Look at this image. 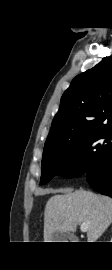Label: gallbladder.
I'll use <instances>...</instances> for the list:
<instances>
[{
	"mask_svg": "<svg viewBox=\"0 0 112 270\" xmlns=\"http://www.w3.org/2000/svg\"><path fill=\"white\" fill-rule=\"evenodd\" d=\"M67 239L73 240L75 239L72 234H64L62 232H55L52 236L53 242H66Z\"/></svg>",
	"mask_w": 112,
	"mask_h": 270,
	"instance_id": "gallbladder-1",
	"label": "gallbladder"
}]
</instances>
